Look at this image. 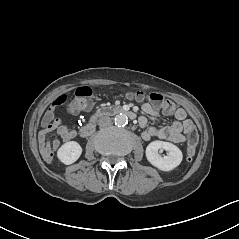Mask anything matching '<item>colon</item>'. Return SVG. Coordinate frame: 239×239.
<instances>
[{
	"instance_id": "5ec220e1",
	"label": "colon",
	"mask_w": 239,
	"mask_h": 239,
	"mask_svg": "<svg viewBox=\"0 0 239 239\" xmlns=\"http://www.w3.org/2000/svg\"><path fill=\"white\" fill-rule=\"evenodd\" d=\"M92 89L87 86H81L77 88L75 92V98L69 105V111L71 113H78L83 110H87L92 105ZM131 97L136 99L137 101H150L155 107L160 108L163 112L173 113L175 110V104L165 99L161 94L158 93H144V92H133L130 94ZM66 101V96L62 95L56 98L49 112L46 114L44 118V122L48 123L53 118V111L62 105ZM198 144V134L196 130H192L188 134L187 138V159L192 160L196 152V146Z\"/></svg>"
}]
</instances>
